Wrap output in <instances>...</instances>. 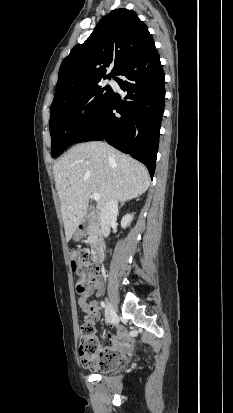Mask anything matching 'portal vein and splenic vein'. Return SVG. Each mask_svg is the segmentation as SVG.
I'll return each mask as SVG.
<instances>
[{
    "instance_id": "1",
    "label": "portal vein and splenic vein",
    "mask_w": 233,
    "mask_h": 413,
    "mask_svg": "<svg viewBox=\"0 0 233 413\" xmlns=\"http://www.w3.org/2000/svg\"><path fill=\"white\" fill-rule=\"evenodd\" d=\"M92 198H93V200H95V201H99V200L101 199V196H100V194H98V193H93V194H92Z\"/></svg>"
}]
</instances>
